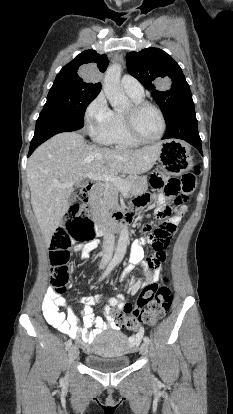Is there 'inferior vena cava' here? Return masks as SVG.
I'll return each instance as SVG.
<instances>
[{
	"mask_svg": "<svg viewBox=\"0 0 233 414\" xmlns=\"http://www.w3.org/2000/svg\"><path fill=\"white\" fill-rule=\"evenodd\" d=\"M103 242L100 245V250L101 251H105V253H102V263H108L110 261V258L113 256V246H114V238H115V233L112 232V230H109L107 232L104 233L103 235Z\"/></svg>",
	"mask_w": 233,
	"mask_h": 414,
	"instance_id": "inferior-vena-cava-1",
	"label": "inferior vena cava"
}]
</instances>
